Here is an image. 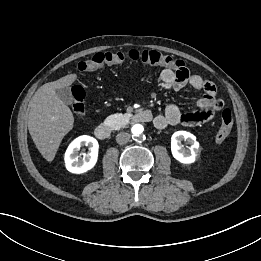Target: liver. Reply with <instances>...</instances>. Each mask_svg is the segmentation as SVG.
Masks as SVG:
<instances>
[{"instance_id":"1","label":"liver","mask_w":261,"mask_h":261,"mask_svg":"<svg viewBox=\"0 0 261 261\" xmlns=\"http://www.w3.org/2000/svg\"><path fill=\"white\" fill-rule=\"evenodd\" d=\"M76 79V74H69L42 85L28 105L29 133L38 151L49 162L74 124L72 111L59 99L56 90L72 85Z\"/></svg>"}]
</instances>
